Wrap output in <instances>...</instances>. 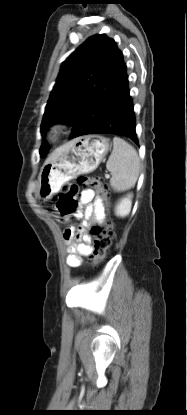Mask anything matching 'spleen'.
<instances>
[{
	"label": "spleen",
	"instance_id": "spleen-1",
	"mask_svg": "<svg viewBox=\"0 0 187 415\" xmlns=\"http://www.w3.org/2000/svg\"><path fill=\"white\" fill-rule=\"evenodd\" d=\"M111 173L110 186L114 191L122 192L132 188L139 176L140 159L137 151L125 140L114 137L113 151L106 163Z\"/></svg>",
	"mask_w": 187,
	"mask_h": 415
}]
</instances>
